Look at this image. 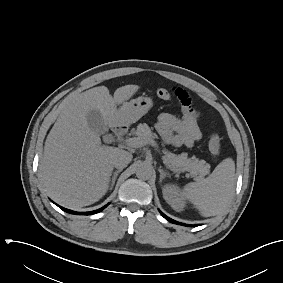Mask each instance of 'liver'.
Listing matches in <instances>:
<instances>
[{"label": "liver", "mask_w": 283, "mask_h": 283, "mask_svg": "<svg viewBox=\"0 0 283 283\" xmlns=\"http://www.w3.org/2000/svg\"><path fill=\"white\" fill-rule=\"evenodd\" d=\"M139 88L125 85L112 97L107 87L98 86L66 102L46 138L40 162L43 184L57 203L79 208L106 194L113 157L120 149L101 144L99 134L88 126L87 114L99 111L106 131L119 122L117 105L124 104Z\"/></svg>", "instance_id": "liver-1"}]
</instances>
